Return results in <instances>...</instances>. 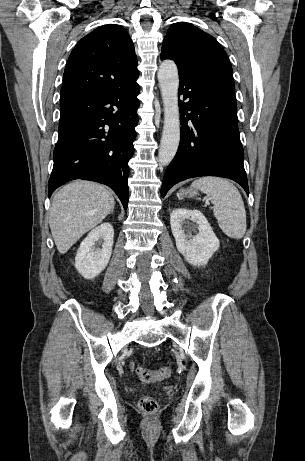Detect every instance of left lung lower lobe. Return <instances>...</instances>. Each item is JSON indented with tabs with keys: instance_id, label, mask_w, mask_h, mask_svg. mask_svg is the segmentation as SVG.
Here are the masks:
<instances>
[{
	"instance_id": "obj_1",
	"label": "left lung lower lobe",
	"mask_w": 305,
	"mask_h": 461,
	"mask_svg": "<svg viewBox=\"0 0 305 461\" xmlns=\"http://www.w3.org/2000/svg\"><path fill=\"white\" fill-rule=\"evenodd\" d=\"M180 95L181 140L165 172L161 196L176 183L198 176L230 178L248 195L234 80L180 76Z\"/></svg>"
}]
</instances>
